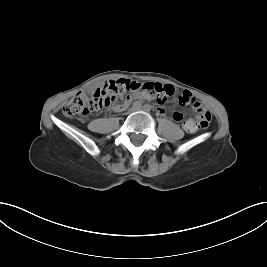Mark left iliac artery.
I'll use <instances>...</instances> for the list:
<instances>
[{
  "instance_id": "44dca946",
  "label": "left iliac artery",
  "mask_w": 267,
  "mask_h": 267,
  "mask_svg": "<svg viewBox=\"0 0 267 267\" xmlns=\"http://www.w3.org/2000/svg\"><path fill=\"white\" fill-rule=\"evenodd\" d=\"M143 108H144V110H146V111H150V110H151V106L148 105V104H146Z\"/></svg>"
}]
</instances>
